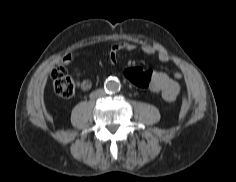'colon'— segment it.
Masks as SVG:
<instances>
[{
	"label": "colon",
	"instance_id": "obj_1",
	"mask_svg": "<svg viewBox=\"0 0 236 182\" xmlns=\"http://www.w3.org/2000/svg\"><path fill=\"white\" fill-rule=\"evenodd\" d=\"M125 78L133 86L146 89L152 82V73L150 70H144L140 67H130L124 72ZM53 86L57 94L62 97H71L75 94L77 83L68 74L65 66L58 63L51 71Z\"/></svg>",
	"mask_w": 236,
	"mask_h": 182
}]
</instances>
